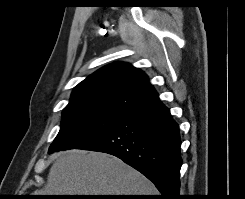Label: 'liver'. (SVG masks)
<instances>
[{"label": "liver", "instance_id": "liver-1", "mask_svg": "<svg viewBox=\"0 0 245 199\" xmlns=\"http://www.w3.org/2000/svg\"><path fill=\"white\" fill-rule=\"evenodd\" d=\"M35 195H156L154 184L112 155L69 150L57 155Z\"/></svg>", "mask_w": 245, "mask_h": 199}]
</instances>
